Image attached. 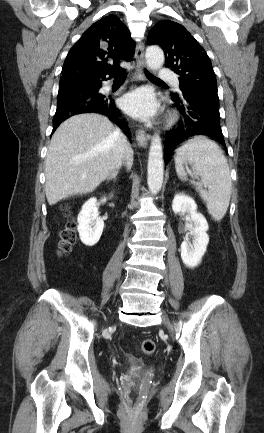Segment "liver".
I'll list each match as a JSON object with an SVG mask.
<instances>
[{
  "instance_id": "obj_1",
  "label": "liver",
  "mask_w": 264,
  "mask_h": 433,
  "mask_svg": "<svg viewBox=\"0 0 264 433\" xmlns=\"http://www.w3.org/2000/svg\"><path fill=\"white\" fill-rule=\"evenodd\" d=\"M116 128L99 114H80L64 121L52 136L45 161L49 205L93 192L118 169ZM133 150L126 155L131 168Z\"/></svg>"
}]
</instances>
